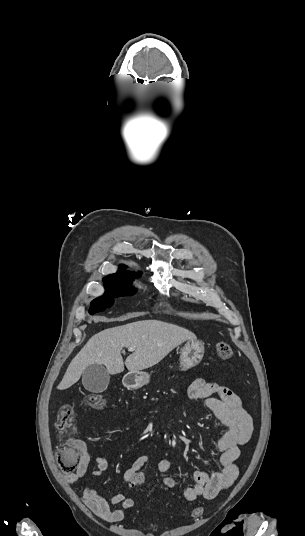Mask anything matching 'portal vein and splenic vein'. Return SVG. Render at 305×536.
Masks as SVG:
<instances>
[{"mask_svg":"<svg viewBox=\"0 0 305 536\" xmlns=\"http://www.w3.org/2000/svg\"><path fill=\"white\" fill-rule=\"evenodd\" d=\"M129 352H134L135 348H128Z\"/></svg>","mask_w":305,"mask_h":536,"instance_id":"portal-vein-and-splenic-vein-1","label":"portal vein and splenic vein"}]
</instances>
